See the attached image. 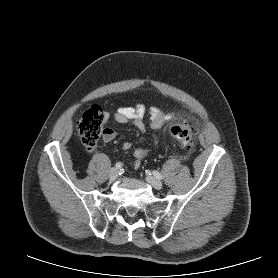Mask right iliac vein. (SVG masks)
<instances>
[{"label": "right iliac vein", "instance_id": "63e3f726", "mask_svg": "<svg viewBox=\"0 0 278 278\" xmlns=\"http://www.w3.org/2000/svg\"><path fill=\"white\" fill-rule=\"evenodd\" d=\"M118 173L119 171L117 168H112L109 173L110 179L115 180L118 177Z\"/></svg>", "mask_w": 278, "mask_h": 278}]
</instances>
